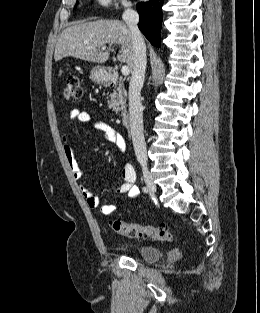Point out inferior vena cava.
I'll use <instances>...</instances> for the list:
<instances>
[{"mask_svg":"<svg viewBox=\"0 0 260 313\" xmlns=\"http://www.w3.org/2000/svg\"><path fill=\"white\" fill-rule=\"evenodd\" d=\"M123 20L129 27L133 43V69L129 83V114L133 147L137 161L141 166H147V150L143 134V109L140 92L144 83L147 64L146 45L138 28L139 15L131 8L130 3H124Z\"/></svg>","mask_w":260,"mask_h":313,"instance_id":"1","label":"inferior vena cava"}]
</instances>
